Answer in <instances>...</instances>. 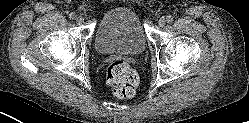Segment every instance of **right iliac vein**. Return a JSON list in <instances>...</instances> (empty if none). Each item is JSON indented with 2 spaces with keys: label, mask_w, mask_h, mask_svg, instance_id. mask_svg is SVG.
Here are the masks:
<instances>
[{
  "label": "right iliac vein",
  "mask_w": 249,
  "mask_h": 123,
  "mask_svg": "<svg viewBox=\"0 0 249 123\" xmlns=\"http://www.w3.org/2000/svg\"><path fill=\"white\" fill-rule=\"evenodd\" d=\"M76 22H77L78 24H82V23L84 22V18H83L82 16H78V17L76 18Z\"/></svg>",
  "instance_id": "obj_1"
}]
</instances>
